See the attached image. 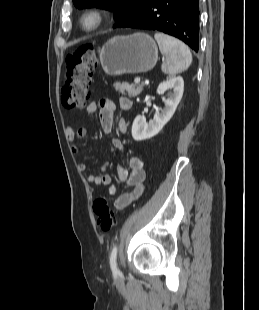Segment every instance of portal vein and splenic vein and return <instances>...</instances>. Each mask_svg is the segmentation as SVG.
Segmentation results:
<instances>
[{
    "label": "portal vein and splenic vein",
    "instance_id": "portal-vein-and-splenic-vein-1",
    "mask_svg": "<svg viewBox=\"0 0 259 310\" xmlns=\"http://www.w3.org/2000/svg\"><path fill=\"white\" fill-rule=\"evenodd\" d=\"M135 84H138L140 82V78L139 77H136L135 80H134Z\"/></svg>",
    "mask_w": 259,
    "mask_h": 310
}]
</instances>
